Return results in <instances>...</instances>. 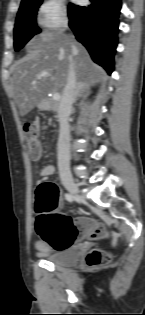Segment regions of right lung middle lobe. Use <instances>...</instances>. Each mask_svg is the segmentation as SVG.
<instances>
[{
	"label": "right lung middle lobe",
	"instance_id": "obj_1",
	"mask_svg": "<svg viewBox=\"0 0 145 315\" xmlns=\"http://www.w3.org/2000/svg\"><path fill=\"white\" fill-rule=\"evenodd\" d=\"M43 0H32L21 4L14 27V48L19 51L34 35L41 30L36 23L37 10Z\"/></svg>",
	"mask_w": 145,
	"mask_h": 315
}]
</instances>
